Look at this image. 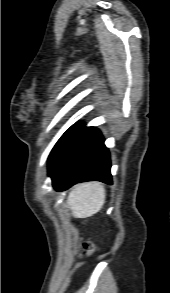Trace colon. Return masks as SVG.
<instances>
[{
  "mask_svg": "<svg viewBox=\"0 0 170 293\" xmlns=\"http://www.w3.org/2000/svg\"><path fill=\"white\" fill-rule=\"evenodd\" d=\"M82 256L87 258L90 257L95 251V244L91 240H85L81 246Z\"/></svg>",
  "mask_w": 170,
  "mask_h": 293,
  "instance_id": "1",
  "label": "colon"
}]
</instances>
